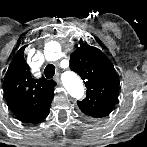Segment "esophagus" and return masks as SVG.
Masks as SVG:
<instances>
[{"mask_svg":"<svg viewBox=\"0 0 147 147\" xmlns=\"http://www.w3.org/2000/svg\"><path fill=\"white\" fill-rule=\"evenodd\" d=\"M54 80L57 82V84H60V79H59V75H56Z\"/></svg>","mask_w":147,"mask_h":147,"instance_id":"esophagus-1","label":"esophagus"}]
</instances>
